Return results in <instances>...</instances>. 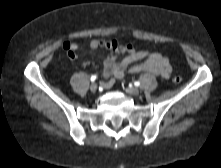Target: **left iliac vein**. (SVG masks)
I'll use <instances>...</instances> for the list:
<instances>
[{
  "instance_id": "4c4485c4",
  "label": "left iliac vein",
  "mask_w": 221,
  "mask_h": 168,
  "mask_svg": "<svg viewBox=\"0 0 221 168\" xmlns=\"http://www.w3.org/2000/svg\"><path fill=\"white\" fill-rule=\"evenodd\" d=\"M126 92L128 94L134 95V96L139 95V93H140L139 89L136 87H128V88H126Z\"/></svg>"
}]
</instances>
